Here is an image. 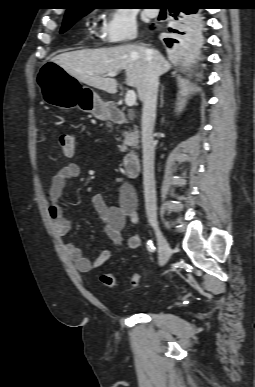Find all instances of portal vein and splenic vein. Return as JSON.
<instances>
[{"label":"portal vein and splenic vein","mask_w":255,"mask_h":387,"mask_svg":"<svg viewBox=\"0 0 255 387\" xmlns=\"http://www.w3.org/2000/svg\"><path fill=\"white\" fill-rule=\"evenodd\" d=\"M117 75V72H109L106 74L107 77H115ZM136 103V93L133 90H129L125 97V104L128 107L134 106Z\"/></svg>","instance_id":"obj_1"}]
</instances>
